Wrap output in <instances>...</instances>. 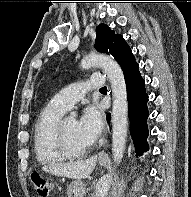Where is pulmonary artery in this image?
Instances as JSON below:
<instances>
[{
  "label": "pulmonary artery",
  "instance_id": "1",
  "mask_svg": "<svg viewBox=\"0 0 191 197\" xmlns=\"http://www.w3.org/2000/svg\"><path fill=\"white\" fill-rule=\"evenodd\" d=\"M105 79L106 75L104 73L94 74L88 80L75 82L66 86L56 93L51 101L67 111L89 91L102 87Z\"/></svg>",
  "mask_w": 191,
  "mask_h": 197
}]
</instances>
